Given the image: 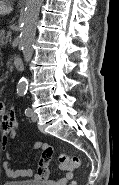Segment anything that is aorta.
Here are the masks:
<instances>
[{"label": "aorta", "mask_w": 119, "mask_h": 185, "mask_svg": "<svg viewBox=\"0 0 119 185\" xmlns=\"http://www.w3.org/2000/svg\"><path fill=\"white\" fill-rule=\"evenodd\" d=\"M42 2L43 0H26L20 33V47L26 64L30 62L32 57L36 25ZM27 85V79L22 77L17 84V93L25 94Z\"/></svg>", "instance_id": "1"}]
</instances>
